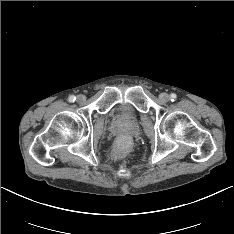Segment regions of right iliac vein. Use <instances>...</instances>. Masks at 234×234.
Returning a JSON list of instances; mask_svg holds the SVG:
<instances>
[{
	"mask_svg": "<svg viewBox=\"0 0 234 234\" xmlns=\"http://www.w3.org/2000/svg\"><path fill=\"white\" fill-rule=\"evenodd\" d=\"M85 101V96L84 95H78L77 96V102L82 103Z\"/></svg>",
	"mask_w": 234,
	"mask_h": 234,
	"instance_id": "63e3f726",
	"label": "right iliac vein"
}]
</instances>
